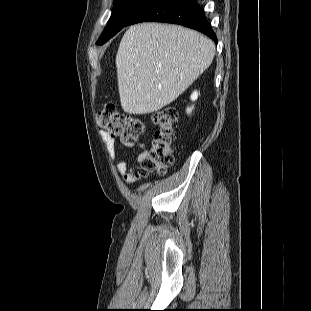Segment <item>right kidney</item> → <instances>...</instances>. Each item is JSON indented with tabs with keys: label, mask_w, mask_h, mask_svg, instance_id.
Wrapping results in <instances>:
<instances>
[{
	"label": "right kidney",
	"mask_w": 311,
	"mask_h": 311,
	"mask_svg": "<svg viewBox=\"0 0 311 311\" xmlns=\"http://www.w3.org/2000/svg\"><path fill=\"white\" fill-rule=\"evenodd\" d=\"M197 98H198V92H197V91H194V92L191 94V100H192V101H195V100H197ZM192 110H193V107H188V108H187V113H188V114L191 113Z\"/></svg>",
	"instance_id": "1"
}]
</instances>
